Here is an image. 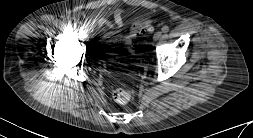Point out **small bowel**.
I'll list each match as a JSON object with an SVG mask.
<instances>
[{
  "instance_id": "1",
  "label": "small bowel",
  "mask_w": 253,
  "mask_h": 138,
  "mask_svg": "<svg viewBox=\"0 0 253 138\" xmlns=\"http://www.w3.org/2000/svg\"><path fill=\"white\" fill-rule=\"evenodd\" d=\"M123 12L122 11H118L115 16H114V20L113 22H110V21H105V20H102L100 22V26H105L109 29H112V30H115V29H121L122 26H123Z\"/></svg>"
}]
</instances>
